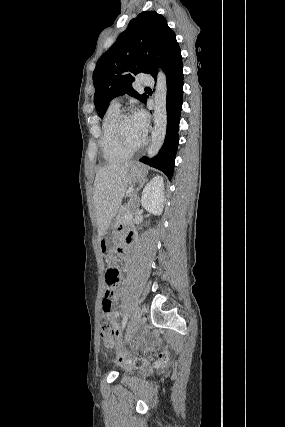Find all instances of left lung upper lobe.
Instances as JSON below:
<instances>
[{
    "label": "left lung upper lobe",
    "instance_id": "1",
    "mask_svg": "<svg viewBox=\"0 0 285 427\" xmlns=\"http://www.w3.org/2000/svg\"><path fill=\"white\" fill-rule=\"evenodd\" d=\"M180 47L166 19L155 11H144L132 19L113 46L97 61L93 73L94 102L102 118L109 102L125 93L146 103L148 96L139 95L132 87L138 73L157 75L156 62L164 71Z\"/></svg>",
    "mask_w": 285,
    "mask_h": 427
}]
</instances>
